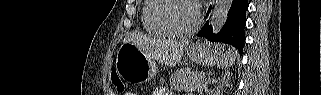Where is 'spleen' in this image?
<instances>
[{"label": "spleen", "mask_w": 321, "mask_h": 95, "mask_svg": "<svg viewBox=\"0 0 321 95\" xmlns=\"http://www.w3.org/2000/svg\"><path fill=\"white\" fill-rule=\"evenodd\" d=\"M235 52L232 49H228L224 54L220 55L217 60V66L219 68H227L234 64Z\"/></svg>", "instance_id": "obj_1"}]
</instances>
